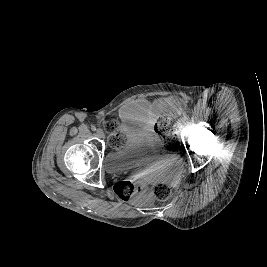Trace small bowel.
Segmentation results:
<instances>
[{"instance_id":"small-bowel-1","label":"small bowel","mask_w":267,"mask_h":267,"mask_svg":"<svg viewBox=\"0 0 267 267\" xmlns=\"http://www.w3.org/2000/svg\"><path fill=\"white\" fill-rule=\"evenodd\" d=\"M161 106H170L173 111L179 112L183 108V102L179 101V100L161 101L158 105V110L153 115V117L144 126L132 131V135L134 137H145V138L152 139V140L156 139V135L154 133L153 126H154L155 120L159 114V110H160Z\"/></svg>"}]
</instances>
